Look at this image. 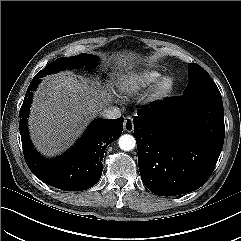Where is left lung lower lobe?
<instances>
[{
  "label": "left lung lower lobe",
  "mask_w": 241,
  "mask_h": 241,
  "mask_svg": "<svg viewBox=\"0 0 241 241\" xmlns=\"http://www.w3.org/2000/svg\"><path fill=\"white\" fill-rule=\"evenodd\" d=\"M133 122L141 179L151 192L185 194L209 179L224 143L221 96L166 98L144 106Z\"/></svg>",
  "instance_id": "obj_1"
}]
</instances>
